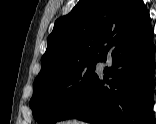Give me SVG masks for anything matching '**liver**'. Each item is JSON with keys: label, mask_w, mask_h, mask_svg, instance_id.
<instances>
[{"label": "liver", "mask_w": 156, "mask_h": 124, "mask_svg": "<svg viewBox=\"0 0 156 124\" xmlns=\"http://www.w3.org/2000/svg\"><path fill=\"white\" fill-rule=\"evenodd\" d=\"M64 124H84V123H82V122H80V121H67V122L64 123Z\"/></svg>", "instance_id": "liver-1"}]
</instances>
